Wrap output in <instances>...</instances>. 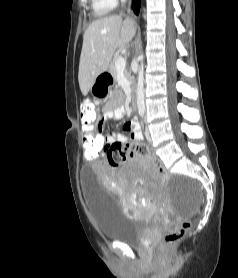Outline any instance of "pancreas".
I'll return each mask as SVG.
<instances>
[{
  "label": "pancreas",
  "instance_id": "pancreas-1",
  "mask_svg": "<svg viewBox=\"0 0 238 278\" xmlns=\"http://www.w3.org/2000/svg\"><path fill=\"white\" fill-rule=\"evenodd\" d=\"M120 57H122L121 54H119V53L115 54L111 63H110L109 71H110V73H111V75L114 79L117 78V73H118V70L116 68V61ZM124 75H125L126 79L132 84L133 83V76L131 75V72L128 71V69H125L124 70Z\"/></svg>",
  "mask_w": 238,
  "mask_h": 278
}]
</instances>
